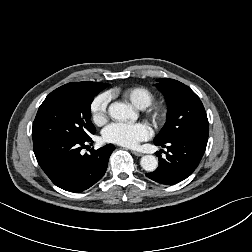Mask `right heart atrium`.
Instances as JSON below:
<instances>
[{"label": "right heart atrium", "mask_w": 252, "mask_h": 252, "mask_svg": "<svg viewBox=\"0 0 252 252\" xmlns=\"http://www.w3.org/2000/svg\"><path fill=\"white\" fill-rule=\"evenodd\" d=\"M110 96L107 93L97 95L90 104V114L96 125H103L108 119Z\"/></svg>", "instance_id": "1"}]
</instances>
